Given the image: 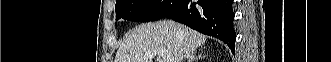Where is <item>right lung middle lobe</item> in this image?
Returning <instances> with one entry per match:
<instances>
[{
    "label": "right lung middle lobe",
    "instance_id": "1",
    "mask_svg": "<svg viewBox=\"0 0 331 62\" xmlns=\"http://www.w3.org/2000/svg\"><path fill=\"white\" fill-rule=\"evenodd\" d=\"M180 0H118L116 20L150 22L164 17Z\"/></svg>",
    "mask_w": 331,
    "mask_h": 62
}]
</instances>
